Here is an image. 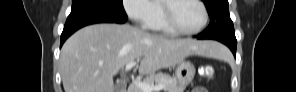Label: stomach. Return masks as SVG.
<instances>
[{
    "label": "stomach",
    "mask_w": 296,
    "mask_h": 92,
    "mask_svg": "<svg viewBox=\"0 0 296 92\" xmlns=\"http://www.w3.org/2000/svg\"><path fill=\"white\" fill-rule=\"evenodd\" d=\"M195 67L189 61H182L178 64L175 78L179 85L186 87L194 78Z\"/></svg>",
    "instance_id": "0dacf381"
}]
</instances>
